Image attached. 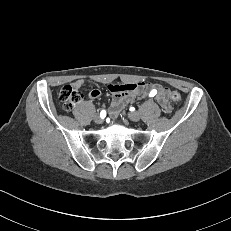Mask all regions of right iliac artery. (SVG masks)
Instances as JSON below:
<instances>
[{
  "label": "right iliac artery",
  "mask_w": 231,
  "mask_h": 231,
  "mask_svg": "<svg viewBox=\"0 0 231 231\" xmlns=\"http://www.w3.org/2000/svg\"><path fill=\"white\" fill-rule=\"evenodd\" d=\"M100 117H101L102 119H104V118L106 117V111H105V110H102V111L100 112Z\"/></svg>",
  "instance_id": "obj_1"
}]
</instances>
